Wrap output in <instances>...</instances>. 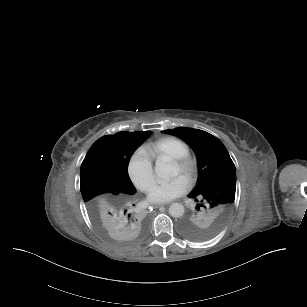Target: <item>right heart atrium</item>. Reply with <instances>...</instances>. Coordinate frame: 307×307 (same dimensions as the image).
<instances>
[{"instance_id":"obj_1","label":"right heart atrium","mask_w":307,"mask_h":307,"mask_svg":"<svg viewBox=\"0 0 307 307\" xmlns=\"http://www.w3.org/2000/svg\"><path fill=\"white\" fill-rule=\"evenodd\" d=\"M127 171L136 186L144 187L153 178V156L143 147L136 148L129 156Z\"/></svg>"}]
</instances>
